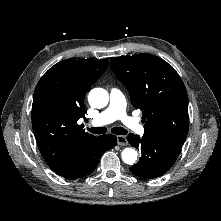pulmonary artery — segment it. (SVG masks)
<instances>
[{
  "label": "pulmonary artery",
  "instance_id": "pulmonary-artery-1",
  "mask_svg": "<svg viewBox=\"0 0 221 221\" xmlns=\"http://www.w3.org/2000/svg\"><path fill=\"white\" fill-rule=\"evenodd\" d=\"M115 120H121L130 130L137 134L142 135L145 132L144 127L137 119L127 115L126 102L122 92L117 88H112L110 90L109 106L93 118L91 124L93 126H103Z\"/></svg>",
  "mask_w": 221,
  "mask_h": 221
}]
</instances>
